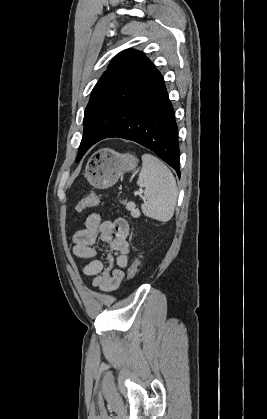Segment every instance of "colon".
<instances>
[{
    "label": "colon",
    "instance_id": "colon-1",
    "mask_svg": "<svg viewBox=\"0 0 267 419\" xmlns=\"http://www.w3.org/2000/svg\"><path fill=\"white\" fill-rule=\"evenodd\" d=\"M100 203H101V199L99 198V196H97L95 194H91V195L81 199L77 203L76 210L78 212H80V211H82L86 208L94 207V206H96ZM140 262H141V259H140V256H138V257L135 258V260L130 265V267L128 269V278L129 279H133L136 276V274L138 272V269H139V266H140Z\"/></svg>",
    "mask_w": 267,
    "mask_h": 419
}]
</instances>
